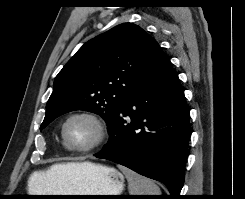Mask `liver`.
Listing matches in <instances>:
<instances>
[{
	"label": "liver",
	"mask_w": 245,
	"mask_h": 199,
	"mask_svg": "<svg viewBox=\"0 0 245 199\" xmlns=\"http://www.w3.org/2000/svg\"><path fill=\"white\" fill-rule=\"evenodd\" d=\"M87 163L55 164L45 172L33 173L30 180L34 184H39L40 190L44 193H60L73 172Z\"/></svg>",
	"instance_id": "1"
}]
</instances>
